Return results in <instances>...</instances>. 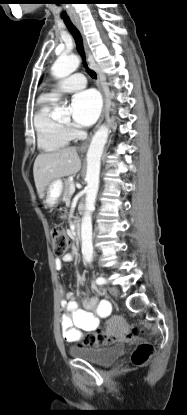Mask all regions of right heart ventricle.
Wrapping results in <instances>:
<instances>
[{
    "label": "right heart ventricle",
    "instance_id": "1",
    "mask_svg": "<svg viewBox=\"0 0 187 415\" xmlns=\"http://www.w3.org/2000/svg\"><path fill=\"white\" fill-rule=\"evenodd\" d=\"M52 101L53 99L49 96H43L34 115L38 146L48 152L64 148L72 138L71 133L63 124L52 119L50 114Z\"/></svg>",
    "mask_w": 187,
    "mask_h": 415
}]
</instances>
